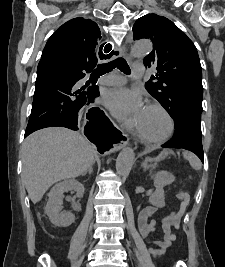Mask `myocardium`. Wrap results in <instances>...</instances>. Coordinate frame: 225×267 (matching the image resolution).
I'll return each instance as SVG.
<instances>
[{"label":"myocardium","instance_id":"obj_1","mask_svg":"<svg viewBox=\"0 0 225 267\" xmlns=\"http://www.w3.org/2000/svg\"><path fill=\"white\" fill-rule=\"evenodd\" d=\"M146 108H152V109H157L159 111H161L168 119L169 121V131L168 133L159 139H150L148 137H146L139 128H136L137 134L140 137V139L148 144H162L167 142L168 140H170L172 138V136L175 133V121L173 116L171 115V113L162 105L157 104V103H150L146 106Z\"/></svg>","mask_w":225,"mask_h":267}]
</instances>
